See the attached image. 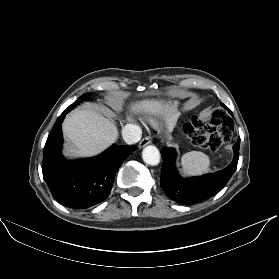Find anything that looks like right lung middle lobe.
Listing matches in <instances>:
<instances>
[{
    "label": "right lung middle lobe",
    "mask_w": 279,
    "mask_h": 279,
    "mask_svg": "<svg viewBox=\"0 0 279 279\" xmlns=\"http://www.w3.org/2000/svg\"><path fill=\"white\" fill-rule=\"evenodd\" d=\"M90 93H86L85 95L81 96L78 101L74 102L72 105H70L66 110L67 111H71L72 109H74V107H76L80 102H82L83 100H88L90 99Z\"/></svg>",
    "instance_id": "dd1d6c3e"
}]
</instances>
